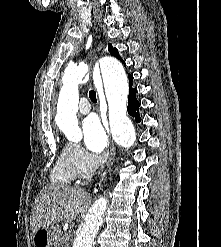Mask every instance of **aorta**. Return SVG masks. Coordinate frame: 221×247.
<instances>
[{"mask_svg": "<svg viewBox=\"0 0 221 247\" xmlns=\"http://www.w3.org/2000/svg\"><path fill=\"white\" fill-rule=\"evenodd\" d=\"M100 70L109 107L111 133L119 146L130 148L136 141V133L132 121L127 116L128 81L124 68L118 60L107 57L101 62ZM88 71V65L80 63L68 67L62 77L63 86L58 98L56 121L72 142L82 139L76 117L79 103L78 85ZM107 202L105 197H100L94 202L73 242V247H92L94 238L103 224Z\"/></svg>", "mask_w": 221, "mask_h": 247, "instance_id": "aorta-1", "label": "aorta"}]
</instances>
